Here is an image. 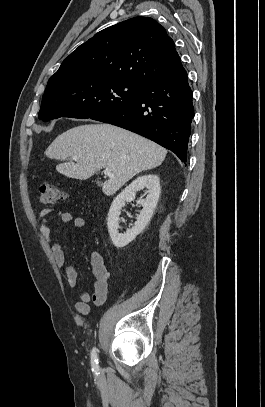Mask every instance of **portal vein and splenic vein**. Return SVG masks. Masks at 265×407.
I'll return each mask as SVG.
<instances>
[{"mask_svg":"<svg viewBox=\"0 0 265 407\" xmlns=\"http://www.w3.org/2000/svg\"><path fill=\"white\" fill-rule=\"evenodd\" d=\"M73 159H76V157H73ZM104 174H105V175H108L109 177H113V176H114V175L112 174L111 169H109V168H105V169H104Z\"/></svg>","mask_w":265,"mask_h":407,"instance_id":"18ae733b","label":"portal vein and splenic vein"}]
</instances>
